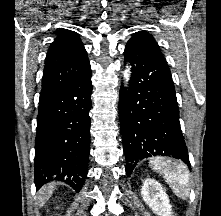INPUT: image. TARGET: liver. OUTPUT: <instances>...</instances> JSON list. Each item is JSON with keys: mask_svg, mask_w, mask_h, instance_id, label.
<instances>
[{"mask_svg": "<svg viewBox=\"0 0 221 216\" xmlns=\"http://www.w3.org/2000/svg\"><path fill=\"white\" fill-rule=\"evenodd\" d=\"M56 188V183L52 182V183H48L46 185H44L40 191L38 192V196H37V201H38V206L42 207L46 201L51 197V195L53 194V191Z\"/></svg>", "mask_w": 221, "mask_h": 216, "instance_id": "6515ba94", "label": "liver"}]
</instances>
